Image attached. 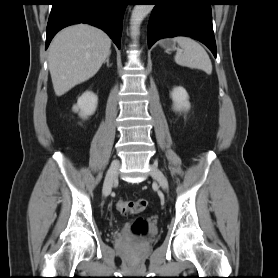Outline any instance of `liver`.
Returning a JSON list of instances; mask_svg holds the SVG:
<instances>
[{
  "label": "liver",
  "mask_w": 278,
  "mask_h": 278,
  "mask_svg": "<svg viewBox=\"0 0 278 278\" xmlns=\"http://www.w3.org/2000/svg\"><path fill=\"white\" fill-rule=\"evenodd\" d=\"M111 39L102 30L77 24L61 30L49 47L48 65L57 96L93 77L110 55Z\"/></svg>",
  "instance_id": "6515ba94"
}]
</instances>
